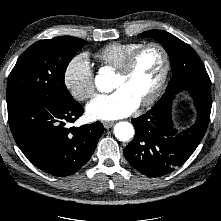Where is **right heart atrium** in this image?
Segmentation results:
<instances>
[{
	"mask_svg": "<svg viewBox=\"0 0 221 221\" xmlns=\"http://www.w3.org/2000/svg\"><path fill=\"white\" fill-rule=\"evenodd\" d=\"M64 82L71 95L79 101H85L93 96L94 70L87 54H79L68 63Z\"/></svg>",
	"mask_w": 221,
	"mask_h": 221,
	"instance_id": "right-heart-atrium-1",
	"label": "right heart atrium"
}]
</instances>
